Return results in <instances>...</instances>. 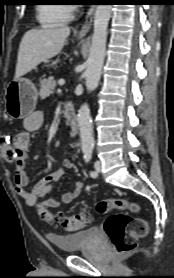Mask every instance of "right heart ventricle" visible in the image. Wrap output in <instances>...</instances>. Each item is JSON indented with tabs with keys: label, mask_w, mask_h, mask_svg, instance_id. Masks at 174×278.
Returning a JSON list of instances; mask_svg holds the SVG:
<instances>
[{
	"label": "right heart ventricle",
	"mask_w": 174,
	"mask_h": 278,
	"mask_svg": "<svg viewBox=\"0 0 174 278\" xmlns=\"http://www.w3.org/2000/svg\"><path fill=\"white\" fill-rule=\"evenodd\" d=\"M72 7L67 4L45 3L37 8V18L42 27L50 28L69 22L72 18Z\"/></svg>",
	"instance_id": "e07e8e85"
}]
</instances>
